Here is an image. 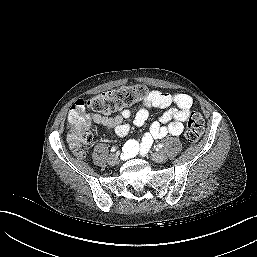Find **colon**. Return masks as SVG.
Returning a JSON list of instances; mask_svg holds the SVG:
<instances>
[{"label":"colon","mask_w":257,"mask_h":257,"mask_svg":"<svg viewBox=\"0 0 257 257\" xmlns=\"http://www.w3.org/2000/svg\"><path fill=\"white\" fill-rule=\"evenodd\" d=\"M148 91L143 85L123 87L114 91L105 92L90 98L79 99L71 107L68 115V140L77 156H83L85 146L91 141L92 135L88 127V119L83 114L86 107L97 111L109 113L132 106L145 99ZM204 129V120L200 113L192 112L187 119L185 138L189 143L197 142Z\"/></svg>","instance_id":"obj_1"}]
</instances>
